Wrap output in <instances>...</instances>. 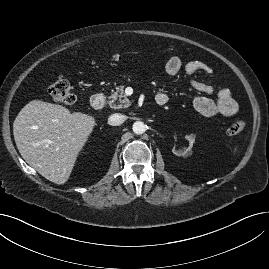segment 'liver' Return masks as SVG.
<instances>
[{
	"mask_svg": "<svg viewBox=\"0 0 269 269\" xmlns=\"http://www.w3.org/2000/svg\"><path fill=\"white\" fill-rule=\"evenodd\" d=\"M95 125L91 115L32 100L15 118L13 134L22 158L43 177L61 185L69 179Z\"/></svg>",
	"mask_w": 269,
	"mask_h": 269,
	"instance_id": "6515ba94",
	"label": "liver"
}]
</instances>
